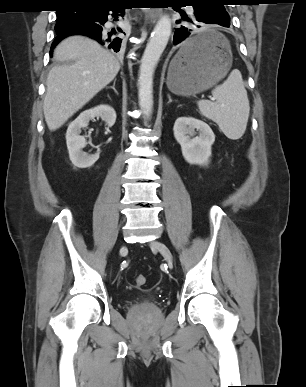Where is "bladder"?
I'll return each mask as SVG.
<instances>
[{
  "label": "bladder",
  "instance_id": "obj_1",
  "mask_svg": "<svg viewBox=\"0 0 306 387\" xmlns=\"http://www.w3.org/2000/svg\"><path fill=\"white\" fill-rule=\"evenodd\" d=\"M153 305L152 301L148 298L139 299L134 306L139 308H149Z\"/></svg>",
  "mask_w": 306,
  "mask_h": 387
}]
</instances>
